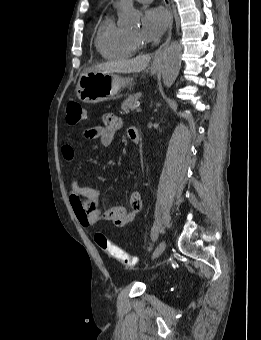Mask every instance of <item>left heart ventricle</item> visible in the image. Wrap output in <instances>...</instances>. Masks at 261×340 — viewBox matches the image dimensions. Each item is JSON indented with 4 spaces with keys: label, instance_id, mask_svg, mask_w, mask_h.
Returning <instances> with one entry per match:
<instances>
[{
    "label": "left heart ventricle",
    "instance_id": "1",
    "mask_svg": "<svg viewBox=\"0 0 261 340\" xmlns=\"http://www.w3.org/2000/svg\"><path fill=\"white\" fill-rule=\"evenodd\" d=\"M129 35H131L132 37H135V38H139V39L141 38V34H140L139 29H136V30L129 32Z\"/></svg>",
    "mask_w": 261,
    "mask_h": 340
}]
</instances>
